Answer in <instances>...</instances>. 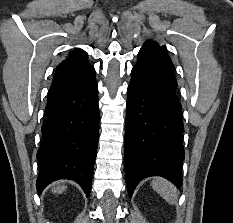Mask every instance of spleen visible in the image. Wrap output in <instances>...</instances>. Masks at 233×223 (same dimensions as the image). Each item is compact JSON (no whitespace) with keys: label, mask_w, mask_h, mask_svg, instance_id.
I'll return each instance as SVG.
<instances>
[{"label":"spleen","mask_w":233,"mask_h":223,"mask_svg":"<svg viewBox=\"0 0 233 223\" xmlns=\"http://www.w3.org/2000/svg\"><path fill=\"white\" fill-rule=\"evenodd\" d=\"M151 185L157 193H160V195L164 197L165 201H168V203H175V201H177L178 191L175 185H173L171 181H168V179H164V177H154Z\"/></svg>","instance_id":"spleen-1"}]
</instances>
